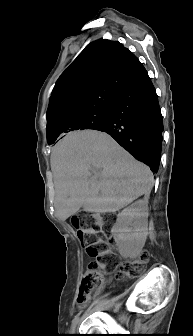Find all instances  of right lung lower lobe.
Returning a JSON list of instances; mask_svg holds the SVG:
<instances>
[{
  "mask_svg": "<svg viewBox=\"0 0 193 336\" xmlns=\"http://www.w3.org/2000/svg\"><path fill=\"white\" fill-rule=\"evenodd\" d=\"M99 131L111 135L153 172L158 170L163 121L156 91L143 65L113 100Z\"/></svg>",
  "mask_w": 193,
  "mask_h": 336,
  "instance_id": "98d812e1",
  "label": "right lung lower lobe"
}]
</instances>
